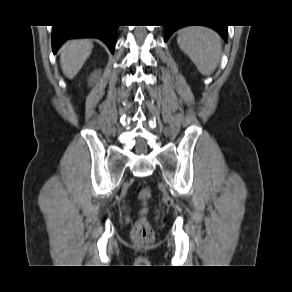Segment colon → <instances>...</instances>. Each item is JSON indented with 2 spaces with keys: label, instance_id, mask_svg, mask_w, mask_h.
<instances>
[{
  "label": "colon",
  "instance_id": "1",
  "mask_svg": "<svg viewBox=\"0 0 292 292\" xmlns=\"http://www.w3.org/2000/svg\"><path fill=\"white\" fill-rule=\"evenodd\" d=\"M151 198L152 192L149 187L142 188L138 193L141 208L139 218L131 231V237L134 242L149 243L154 239V232L148 220V205Z\"/></svg>",
  "mask_w": 292,
  "mask_h": 292
}]
</instances>
